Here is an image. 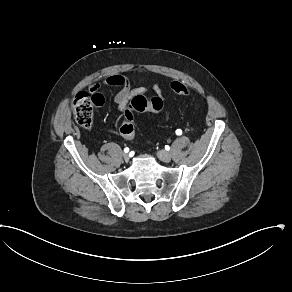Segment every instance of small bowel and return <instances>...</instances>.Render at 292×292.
Here are the masks:
<instances>
[{
	"label": "small bowel",
	"instance_id": "small-bowel-1",
	"mask_svg": "<svg viewBox=\"0 0 292 292\" xmlns=\"http://www.w3.org/2000/svg\"><path fill=\"white\" fill-rule=\"evenodd\" d=\"M102 86H117V87H119V91L116 93V95L114 97V102L117 106V109L119 110V112L114 120L115 126L120 125L119 121L123 117V114H124L123 110L126 108L128 102L134 96H136L138 94H143L147 91V89L143 86H140L137 88H131L128 78L122 74L111 75V76L107 77L106 79H104L102 82L94 83L89 87V90L91 92H94V91L99 90ZM153 91L162 100L165 98L166 93H165V90L162 86L154 85ZM101 129L103 131H106L107 126L102 125ZM108 132L116 134V135L121 134L119 127H116L115 129L109 128Z\"/></svg>",
	"mask_w": 292,
	"mask_h": 292
}]
</instances>
